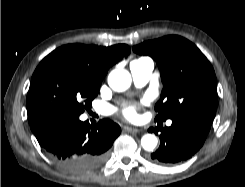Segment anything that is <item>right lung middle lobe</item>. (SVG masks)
<instances>
[{
  "label": "right lung middle lobe",
  "instance_id": "dd1d6c3e",
  "mask_svg": "<svg viewBox=\"0 0 245 187\" xmlns=\"http://www.w3.org/2000/svg\"><path fill=\"white\" fill-rule=\"evenodd\" d=\"M101 82L77 54L54 50L32 76L26 101L29 123L54 113L82 114Z\"/></svg>",
  "mask_w": 245,
  "mask_h": 187
}]
</instances>
